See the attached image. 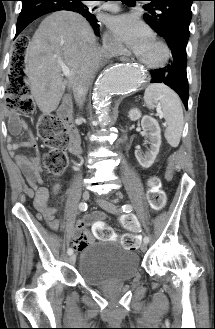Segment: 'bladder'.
<instances>
[{"label":"bladder","mask_w":215,"mask_h":329,"mask_svg":"<svg viewBox=\"0 0 215 329\" xmlns=\"http://www.w3.org/2000/svg\"><path fill=\"white\" fill-rule=\"evenodd\" d=\"M140 271L138 254L115 240H97L81 253L78 276L90 286L130 281Z\"/></svg>","instance_id":"obj_1"}]
</instances>
